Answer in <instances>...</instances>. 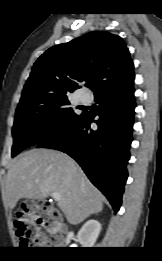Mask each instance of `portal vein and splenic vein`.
<instances>
[{"label":"portal vein and splenic vein","mask_w":162,"mask_h":261,"mask_svg":"<svg viewBox=\"0 0 162 261\" xmlns=\"http://www.w3.org/2000/svg\"><path fill=\"white\" fill-rule=\"evenodd\" d=\"M51 196L54 200H57V201L60 200V198H61V195L58 192L52 193Z\"/></svg>","instance_id":"obj_1"}]
</instances>
